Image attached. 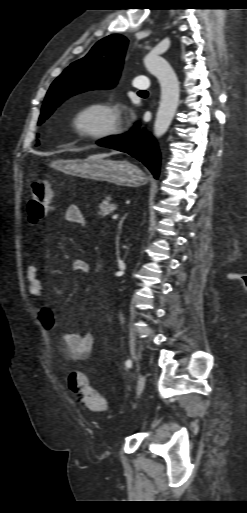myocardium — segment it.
I'll list each match as a JSON object with an SVG mask.
<instances>
[{
    "instance_id": "1",
    "label": "myocardium",
    "mask_w": 247,
    "mask_h": 513,
    "mask_svg": "<svg viewBox=\"0 0 247 513\" xmlns=\"http://www.w3.org/2000/svg\"><path fill=\"white\" fill-rule=\"evenodd\" d=\"M98 114L103 118L99 124H89L88 118ZM68 126L78 137L101 140L119 133L120 116L115 105L102 100L85 101L75 106L68 115Z\"/></svg>"
}]
</instances>
